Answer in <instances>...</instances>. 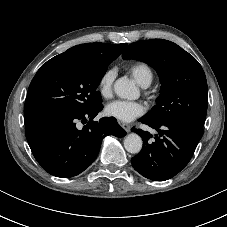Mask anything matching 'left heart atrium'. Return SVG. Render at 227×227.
I'll use <instances>...</instances> for the list:
<instances>
[{
    "mask_svg": "<svg viewBox=\"0 0 227 227\" xmlns=\"http://www.w3.org/2000/svg\"><path fill=\"white\" fill-rule=\"evenodd\" d=\"M145 112V107L140 102L115 100L105 107V114L121 122H130L141 116Z\"/></svg>",
    "mask_w": 227,
    "mask_h": 227,
    "instance_id": "1",
    "label": "left heart atrium"
}]
</instances>
